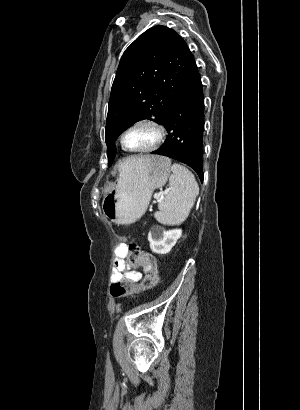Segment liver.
<instances>
[{"label":"liver","mask_w":300,"mask_h":410,"mask_svg":"<svg viewBox=\"0 0 300 410\" xmlns=\"http://www.w3.org/2000/svg\"><path fill=\"white\" fill-rule=\"evenodd\" d=\"M147 156H135L128 158L124 165L125 167H134L135 165L139 164L141 161L145 160Z\"/></svg>","instance_id":"liver-1"}]
</instances>
